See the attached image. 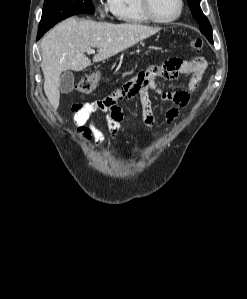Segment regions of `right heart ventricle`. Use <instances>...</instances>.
<instances>
[{
    "mask_svg": "<svg viewBox=\"0 0 247 299\" xmlns=\"http://www.w3.org/2000/svg\"><path fill=\"white\" fill-rule=\"evenodd\" d=\"M109 10L119 21L128 24H148L151 20L145 15L141 0H108Z\"/></svg>",
    "mask_w": 247,
    "mask_h": 299,
    "instance_id": "obj_1",
    "label": "right heart ventricle"
}]
</instances>
